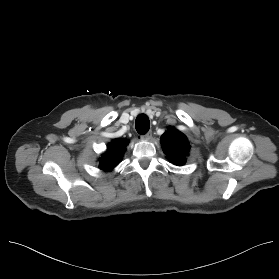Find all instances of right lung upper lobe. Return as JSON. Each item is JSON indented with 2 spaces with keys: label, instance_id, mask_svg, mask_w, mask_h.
I'll return each instance as SVG.
<instances>
[{
  "label": "right lung upper lobe",
  "instance_id": "right-lung-upper-lobe-1",
  "mask_svg": "<svg viewBox=\"0 0 279 279\" xmlns=\"http://www.w3.org/2000/svg\"><path fill=\"white\" fill-rule=\"evenodd\" d=\"M128 144L125 139L112 141L107 147V151L99 158L100 168L104 171H111L121 161L124 150Z\"/></svg>",
  "mask_w": 279,
  "mask_h": 279
}]
</instances>
